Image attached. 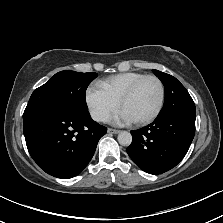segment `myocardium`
<instances>
[{"instance_id":"myocardium-1","label":"myocardium","mask_w":223,"mask_h":223,"mask_svg":"<svg viewBox=\"0 0 223 223\" xmlns=\"http://www.w3.org/2000/svg\"><path fill=\"white\" fill-rule=\"evenodd\" d=\"M154 80L158 84L159 88V98H158V103L155 108V110L147 117L139 119V120H133L136 123L139 124H146L151 121H153L161 112L163 103H164V98H165V89L162 81L154 75H146L143 78L139 79L137 82H135L120 98H119V107L122 106V104L129 99L131 96L135 94V92L138 90V88L147 80Z\"/></svg>"}]
</instances>
